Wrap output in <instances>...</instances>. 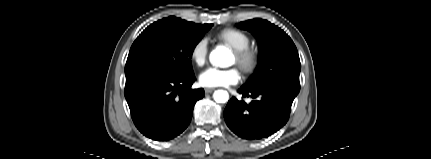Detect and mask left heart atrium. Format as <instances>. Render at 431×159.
Instances as JSON below:
<instances>
[{"mask_svg":"<svg viewBox=\"0 0 431 159\" xmlns=\"http://www.w3.org/2000/svg\"><path fill=\"white\" fill-rule=\"evenodd\" d=\"M240 78V73L236 68L219 69L211 67L200 74L199 82L202 86L208 88L225 87L238 83Z\"/></svg>","mask_w":431,"mask_h":159,"instance_id":"1","label":"left heart atrium"}]
</instances>
